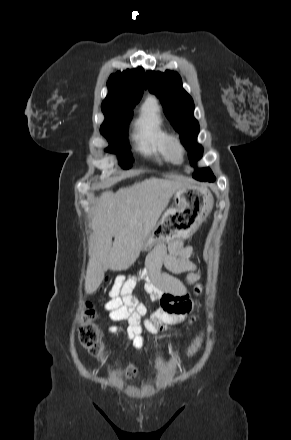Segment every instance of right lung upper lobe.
Instances as JSON below:
<instances>
[{"label": "right lung upper lobe", "instance_id": "cb5924a9", "mask_svg": "<svg viewBox=\"0 0 291 440\" xmlns=\"http://www.w3.org/2000/svg\"><path fill=\"white\" fill-rule=\"evenodd\" d=\"M108 95L102 102V110L131 109L141 99L144 90V70L127 69L112 74L107 82Z\"/></svg>", "mask_w": 291, "mask_h": 440}]
</instances>
